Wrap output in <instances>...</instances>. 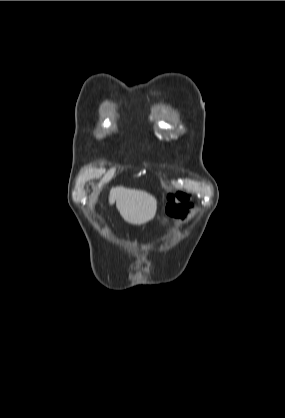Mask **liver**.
<instances>
[{
  "mask_svg": "<svg viewBox=\"0 0 285 418\" xmlns=\"http://www.w3.org/2000/svg\"><path fill=\"white\" fill-rule=\"evenodd\" d=\"M115 201L120 215L130 224L143 225L155 217L157 200L145 191L115 187L110 190L109 204Z\"/></svg>",
  "mask_w": 285,
  "mask_h": 418,
  "instance_id": "6515ba94",
  "label": "liver"
}]
</instances>
